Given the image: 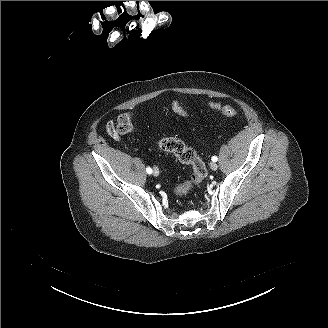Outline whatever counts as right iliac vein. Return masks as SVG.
I'll return each mask as SVG.
<instances>
[{
  "instance_id": "63e3f726",
  "label": "right iliac vein",
  "mask_w": 328,
  "mask_h": 328,
  "mask_svg": "<svg viewBox=\"0 0 328 328\" xmlns=\"http://www.w3.org/2000/svg\"><path fill=\"white\" fill-rule=\"evenodd\" d=\"M153 175L156 177L159 176V169L157 167L154 168Z\"/></svg>"
}]
</instances>
